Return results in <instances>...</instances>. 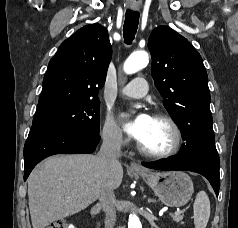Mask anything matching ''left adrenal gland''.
Returning a JSON list of instances; mask_svg holds the SVG:
<instances>
[{"instance_id":"a2214340","label":"left adrenal gland","mask_w":238,"mask_h":228,"mask_svg":"<svg viewBox=\"0 0 238 228\" xmlns=\"http://www.w3.org/2000/svg\"><path fill=\"white\" fill-rule=\"evenodd\" d=\"M151 202H156V200H154V199H148V203H151Z\"/></svg>"}]
</instances>
